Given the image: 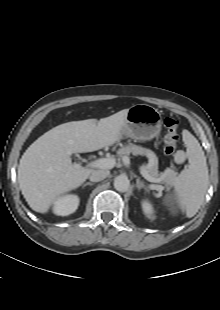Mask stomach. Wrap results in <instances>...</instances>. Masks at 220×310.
<instances>
[{
	"label": "stomach",
	"instance_id": "stomach-1",
	"mask_svg": "<svg viewBox=\"0 0 220 310\" xmlns=\"http://www.w3.org/2000/svg\"><path fill=\"white\" fill-rule=\"evenodd\" d=\"M160 112L147 104H136L128 109L122 135L140 141L151 140L161 131Z\"/></svg>",
	"mask_w": 220,
	"mask_h": 310
}]
</instances>
